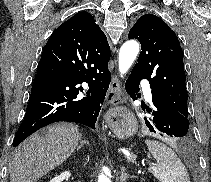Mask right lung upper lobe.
<instances>
[{
  "label": "right lung upper lobe",
  "instance_id": "cb5924a9",
  "mask_svg": "<svg viewBox=\"0 0 211 182\" xmlns=\"http://www.w3.org/2000/svg\"><path fill=\"white\" fill-rule=\"evenodd\" d=\"M62 26L69 29V33L72 34L73 40H76L77 44L82 46H97L101 48L103 52L110 53L106 35L90 13L79 12L60 27Z\"/></svg>",
  "mask_w": 211,
  "mask_h": 182
}]
</instances>
